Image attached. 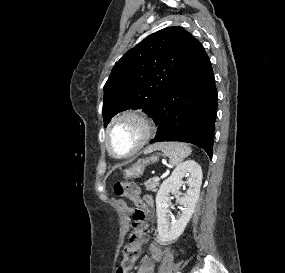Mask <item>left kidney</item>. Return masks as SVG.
I'll list each match as a JSON object with an SVG mask.
<instances>
[{
  "label": "left kidney",
  "mask_w": 285,
  "mask_h": 273,
  "mask_svg": "<svg viewBox=\"0 0 285 273\" xmlns=\"http://www.w3.org/2000/svg\"><path fill=\"white\" fill-rule=\"evenodd\" d=\"M184 176H189L186 184V194L178 198V203L183 206L177 220L170 222L169 207L170 193H177L181 188ZM201 166L194 160H188L178 165L171 176L166 179L156 195L157 228L159 239L170 243L175 241L183 232L195 210L202 184Z\"/></svg>",
  "instance_id": "left-kidney-1"
}]
</instances>
